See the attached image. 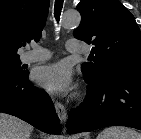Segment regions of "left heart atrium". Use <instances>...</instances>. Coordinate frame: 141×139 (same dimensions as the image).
<instances>
[{"instance_id": "left-heart-atrium-1", "label": "left heart atrium", "mask_w": 141, "mask_h": 139, "mask_svg": "<svg viewBox=\"0 0 141 139\" xmlns=\"http://www.w3.org/2000/svg\"><path fill=\"white\" fill-rule=\"evenodd\" d=\"M34 81L47 92L62 94L71 87V72L64 63L39 67L33 73Z\"/></svg>"}]
</instances>
